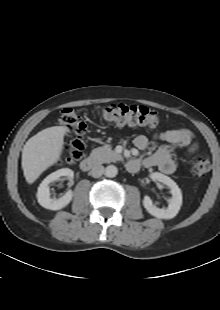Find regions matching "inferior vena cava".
I'll list each match as a JSON object with an SVG mask.
<instances>
[{
  "instance_id": "inferior-vena-cava-1",
  "label": "inferior vena cava",
  "mask_w": 220,
  "mask_h": 310,
  "mask_svg": "<svg viewBox=\"0 0 220 310\" xmlns=\"http://www.w3.org/2000/svg\"><path fill=\"white\" fill-rule=\"evenodd\" d=\"M105 169L102 165H96L90 171V175L94 178H99L104 173Z\"/></svg>"
}]
</instances>
